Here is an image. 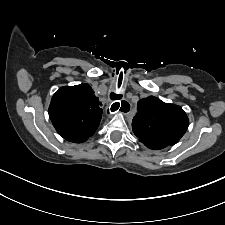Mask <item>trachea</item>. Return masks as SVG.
I'll list each match as a JSON object with an SVG mask.
<instances>
[{
	"label": "trachea",
	"mask_w": 225,
	"mask_h": 225,
	"mask_svg": "<svg viewBox=\"0 0 225 225\" xmlns=\"http://www.w3.org/2000/svg\"><path fill=\"white\" fill-rule=\"evenodd\" d=\"M110 98H111V100H120L122 98V95L121 94L111 93L110 94ZM121 103L122 104H121V108L120 109L122 111L126 107V105H128V110H129L130 105L126 101H122ZM119 106H120V103L119 102H116L115 103V107H114V109H112V111H116L119 108Z\"/></svg>",
	"instance_id": "obj_1"
}]
</instances>
